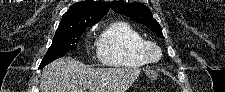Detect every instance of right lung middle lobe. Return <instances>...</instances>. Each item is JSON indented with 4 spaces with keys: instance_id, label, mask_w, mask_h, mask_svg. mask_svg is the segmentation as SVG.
I'll return each instance as SVG.
<instances>
[{
    "instance_id": "obj_1",
    "label": "right lung middle lobe",
    "mask_w": 225,
    "mask_h": 92,
    "mask_svg": "<svg viewBox=\"0 0 225 92\" xmlns=\"http://www.w3.org/2000/svg\"><path fill=\"white\" fill-rule=\"evenodd\" d=\"M95 23L80 25L75 28H58L51 46L49 47L46 55L43 57L39 69H42L57 58L64 56L68 51L76 49L81 35L85 32L87 27H90Z\"/></svg>"
}]
</instances>
